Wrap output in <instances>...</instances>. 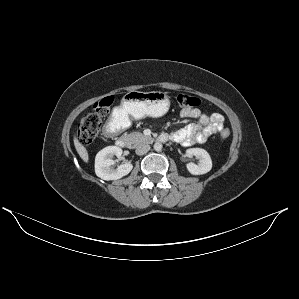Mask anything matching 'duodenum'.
I'll return each mask as SVG.
<instances>
[{
    "label": "duodenum",
    "mask_w": 299,
    "mask_h": 299,
    "mask_svg": "<svg viewBox=\"0 0 299 299\" xmlns=\"http://www.w3.org/2000/svg\"><path fill=\"white\" fill-rule=\"evenodd\" d=\"M117 130H118L117 122L115 119H112L106 124L104 128V135L106 137H112L115 135ZM168 140L169 138L165 134H161L157 138V141L162 143L167 142ZM116 143L119 147L125 148L128 146V139L126 137H118Z\"/></svg>",
    "instance_id": "obj_1"
}]
</instances>
